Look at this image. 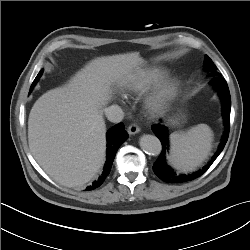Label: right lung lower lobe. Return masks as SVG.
Wrapping results in <instances>:
<instances>
[{
    "label": "right lung lower lobe",
    "mask_w": 250,
    "mask_h": 250,
    "mask_svg": "<svg viewBox=\"0 0 250 250\" xmlns=\"http://www.w3.org/2000/svg\"><path fill=\"white\" fill-rule=\"evenodd\" d=\"M127 138L128 134L124 130V125L122 123L113 126L107 132V159L103 168V172L99 178L93 182L92 185L87 187L86 190H93L104 182L105 178L110 173V169L118 148Z\"/></svg>",
    "instance_id": "right-lung-lower-lobe-1"
}]
</instances>
